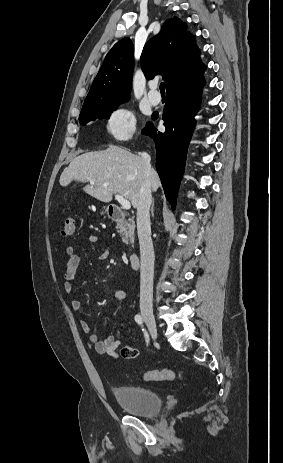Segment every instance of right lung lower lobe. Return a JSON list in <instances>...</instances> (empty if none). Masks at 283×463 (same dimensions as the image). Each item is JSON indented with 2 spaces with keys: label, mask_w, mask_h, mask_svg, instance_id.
I'll use <instances>...</instances> for the list:
<instances>
[{
  "label": "right lung lower lobe",
  "mask_w": 283,
  "mask_h": 463,
  "mask_svg": "<svg viewBox=\"0 0 283 463\" xmlns=\"http://www.w3.org/2000/svg\"><path fill=\"white\" fill-rule=\"evenodd\" d=\"M204 78H199L167 89V99L162 119L166 130L157 132L152 123L143 129L156 145V169L161 179L165 196L175 208L176 195L182 178L187 148L195 125L194 116L200 103ZM153 119L158 114L152 115Z\"/></svg>",
  "instance_id": "right-lung-lower-lobe-1"
}]
</instances>
